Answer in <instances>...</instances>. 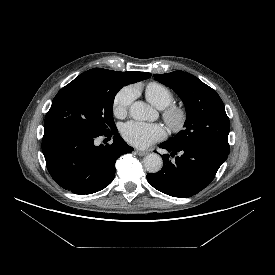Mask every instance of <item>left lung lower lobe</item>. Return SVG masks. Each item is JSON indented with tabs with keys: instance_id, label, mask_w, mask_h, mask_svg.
<instances>
[{
	"instance_id": "1",
	"label": "left lung lower lobe",
	"mask_w": 275,
	"mask_h": 275,
	"mask_svg": "<svg viewBox=\"0 0 275 275\" xmlns=\"http://www.w3.org/2000/svg\"><path fill=\"white\" fill-rule=\"evenodd\" d=\"M159 147L169 151L175 159L164 154L162 169L147 174V180L158 191L179 198L191 197L208 186L228 157V154L197 146L163 142Z\"/></svg>"
}]
</instances>
